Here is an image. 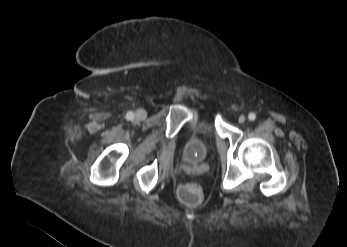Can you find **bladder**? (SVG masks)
<instances>
[{
    "instance_id": "31cf9c89",
    "label": "bladder",
    "mask_w": 347,
    "mask_h": 247,
    "mask_svg": "<svg viewBox=\"0 0 347 247\" xmlns=\"http://www.w3.org/2000/svg\"><path fill=\"white\" fill-rule=\"evenodd\" d=\"M216 136L215 114L212 109H202L194 130L184 143V159L191 164L203 162L214 145Z\"/></svg>"
}]
</instances>
